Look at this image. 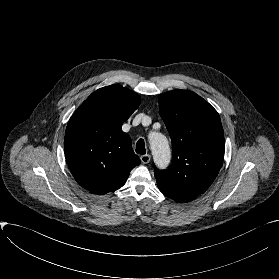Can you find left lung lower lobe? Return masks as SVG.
Segmentation results:
<instances>
[{
	"mask_svg": "<svg viewBox=\"0 0 279 279\" xmlns=\"http://www.w3.org/2000/svg\"><path fill=\"white\" fill-rule=\"evenodd\" d=\"M159 189L164 195L168 196L169 198H171L177 202L185 203V202H189V201L193 200V198H191V197L174 193L167 188L159 187Z\"/></svg>",
	"mask_w": 279,
	"mask_h": 279,
	"instance_id": "left-lung-lower-lobe-1",
	"label": "left lung lower lobe"
}]
</instances>
